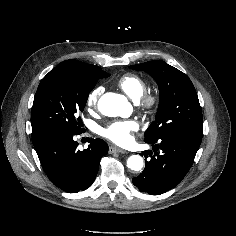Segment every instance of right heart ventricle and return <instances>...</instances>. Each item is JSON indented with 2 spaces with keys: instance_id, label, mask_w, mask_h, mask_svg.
Wrapping results in <instances>:
<instances>
[{
  "instance_id": "right-heart-ventricle-1",
  "label": "right heart ventricle",
  "mask_w": 236,
  "mask_h": 236,
  "mask_svg": "<svg viewBox=\"0 0 236 236\" xmlns=\"http://www.w3.org/2000/svg\"><path fill=\"white\" fill-rule=\"evenodd\" d=\"M118 87L132 100L139 101L146 92L147 83L144 78L134 73L123 75L117 82Z\"/></svg>"
}]
</instances>
